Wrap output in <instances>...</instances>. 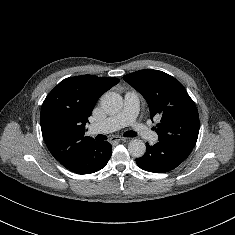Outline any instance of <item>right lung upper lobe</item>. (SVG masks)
<instances>
[{"label":"right lung upper lobe","mask_w":235,"mask_h":235,"mask_svg":"<svg viewBox=\"0 0 235 235\" xmlns=\"http://www.w3.org/2000/svg\"><path fill=\"white\" fill-rule=\"evenodd\" d=\"M119 82L117 78L83 75L62 80L42 104L40 122L51 154L69 165L80 150L95 141L84 136L85 125L98 98Z\"/></svg>","instance_id":"1"}]
</instances>
